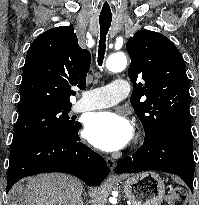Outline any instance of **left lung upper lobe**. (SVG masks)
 <instances>
[{"mask_svg":"<svg viewBox=\"0 0 199 205\" xmlns=\"http://www.w3.org/2000/svg\"><path fill=\"white\" fill-rule=\"evenodd\" d=\"M126 49L131 58V104L145 136H159L175 126L191 127L189 80L176 46L160 33L141 30L127 41Z\"/></svg>","mask_w":199,"mask_h":205,"instance_id":"1","label":"left lung upper lobe"}]
</instances>
